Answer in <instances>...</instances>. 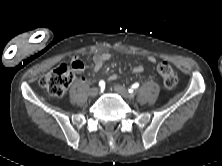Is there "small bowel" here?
Here are the masks:
<instances>
[{"label": "small bowel", "mask_w": 222, "mask_h": 166, "mask_svg": "<svg viewBox=\"0 0 222 166\" xmlns=\"http://www.w3.org/2000/svg\"><path fill=\"white\" fill-rule=\"evenodd\" d=\"M111 59V55L109 53H97L93 56V68L95 71H100L103 66L105 65L106 62H108L109 60ZM150 62H154L155 61V58L154 57H149L148 58ZM76 65H79L80 67L79 68H75L74 69L77 71V72H80L82 71L84 65L82 63V61L78 58V57H73L72 59V66H76ZM133 73L135 74H139V73H142L144 71V67L142 65H137L133 68ZM116 75L113 74L110 76V80H115L116 79ZM83 80H85L84 78H82Z\"/></svg>", "instance_id": "1"}]
</instances>
